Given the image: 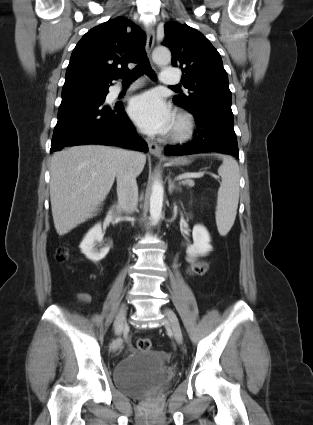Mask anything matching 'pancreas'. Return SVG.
<instances>
[{
  "instance_id": "obj_1",
  "label": "pancreas",
  "mask_w": 313,
  "mask_h": 425,
  "mask_svg": "<svg viewBox=\"0 0 313 425\" xmlns=\"http://www.w3.org/2000/svg\"><path fill=\"white\" fill-rule=\"evenodd\" d=\"M180 184L186 185L188 187H194L195 182L193 180L187 179V180L182 181Z\"/></svg>"
}]
</instances>
